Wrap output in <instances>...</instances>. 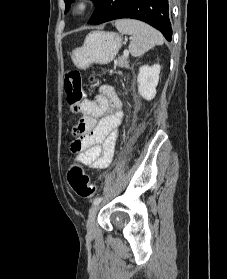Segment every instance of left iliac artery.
Instances as JSON below:
<instances>
[{
  "label": "left iliac artery",
  "mask_w": 227,
  "mask_h": 279,
  "mask_svg": "<svg viewBox=\"0 0 227 279\" xmlns=\"http://www.w3.org/2000/svg\"><path fill=\"white\" fill-rule=\"evenodd\" d=\"M103 199V197H97L93 200V204H97V203H100L101 200Z\"/></svg>",
  "instance_id": "44dca946"
}]
</instances>
